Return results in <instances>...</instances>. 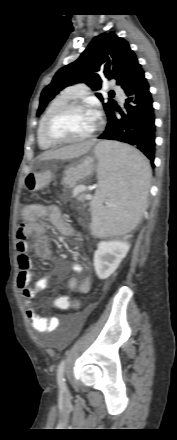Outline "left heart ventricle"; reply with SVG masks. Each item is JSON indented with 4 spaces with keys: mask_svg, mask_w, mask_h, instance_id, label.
Wrapping results in <instances>:
<instances>
[{
    "mask_svg": "<svg viewBox=\"0 0 177 440\" xmlns=\"http://www.w3.org/2000/svg\"><path fill=\"white\" fill-rule=\"evenodd\" d=\"M94 127L89 111L71 110L61 115L52 125L51 132L64 139H79Z\"/></svg>",
    "mask_w": 177,
    "mask_h": 440,
    "instance_id": "obj_1",
    "label": "left heart ventricle"
}]
</instances>
